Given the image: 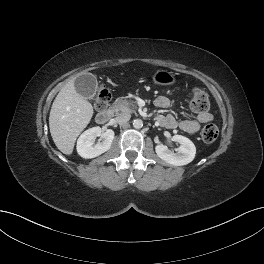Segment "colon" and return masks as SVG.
<instances>
[{"label": "colon", "instance_id": "obj_1", "mask_svg": "<svg viewBox=\"0 0 264 264\" xmlns=\"http://www.w3.org/2000/svg\"><path fill=\"white\" fill-rule=\"evenodd\" d=\"M110 99V94L106 89H102L97 98V106L101 109L107 106ZM190 109L195 113H206L209 110L208 96L204 90L198 87L191 89L188 96ZM219 135L218 127L214 124H207L201 132V137L204 142L212 143Z\"/></svg>", "mask_w": 264, "mask_h": 264}]
</instances>
